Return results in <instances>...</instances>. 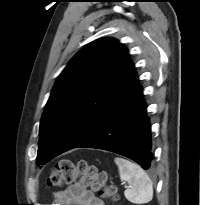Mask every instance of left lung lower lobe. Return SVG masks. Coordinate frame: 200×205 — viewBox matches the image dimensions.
Segmentation results:
<instances>
[{
	"instance_id": "1",
	"label": "left lung lower lobe",
	"mask_w": 200,
	"mask_h": 205,
	"mask_svg": "<svg viewBox=\"0 0 200 205\" xmlns=\"http://www.w3.org/2000/svg\"><path fill=\"white\" fill-rule=\"evenodd\" d=\"M142 87L131 63L103 115L76 147L98 148L126 156L143 169L151 168V130Z\"/></svg>"
}]
</instances>
